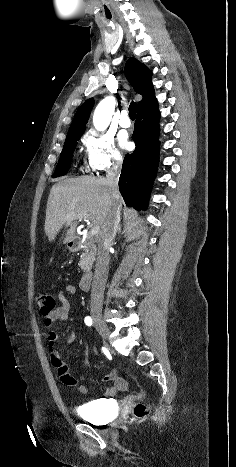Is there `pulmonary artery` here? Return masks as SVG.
I'll return each mask as SVG.
<instances>
[{
	"label": "pulmonary artery",
	"instance_id": "obj_1",
	"mask_svg": "<svg viewBox=\"0 0 236 467\" xmlns=\"http://www.w3.org/2000/svg\"><path fill=\"white\" fill-rule=\"evenodd\" d=\"M119 124L121 127L127 128L131 125V120L129 118L128 112L126 110L122 111L119 116Z\"/></svg>",
	"mask_w": 236,
	"mask_h": 467
}]
</instances>
